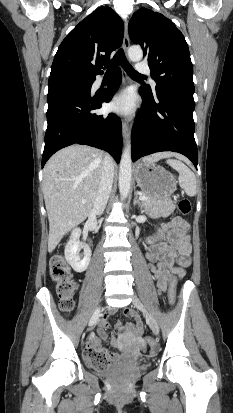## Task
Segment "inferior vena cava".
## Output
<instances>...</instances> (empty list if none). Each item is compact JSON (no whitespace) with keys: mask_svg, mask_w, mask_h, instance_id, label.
Here are the masks:
<instances>
[{"mask_svg":"<svg viewBox=\"0 0 233 413\" xmlns=\"http://www.w3.org/2000/svg\"><path fill=\"white\" fill-rule=\"evenodd\" d=\"M114 177V161L109 154H105L102 166L99 188L94 201L92 213L101 215L109 199Z\"/></svg>","mask_w":233,"mask_h":413,"instance_id":"obj_1","label":"inferior vena cava"}]
</instances>
